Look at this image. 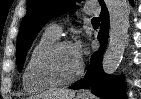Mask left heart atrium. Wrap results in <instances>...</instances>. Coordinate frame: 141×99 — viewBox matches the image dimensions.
<instances>
[{
    "label": "left heart atrium",
    "mask_w": 141,
    "mask_h": 99,
    "mask_svg": "<svg viewBox=\"0 0 141 99\" xmlns=\"http://www.w3.org/2000/svg\"><path fill=\"white\" fill-rule=\"evenodd\" d=\"M72 50L74 52L75 57L81 63L83 59V55L85 53V46L81 41L76 42L72 45Z\"/></svg>",
    "instance_id": "39dd6f15"
}]
</instances>
